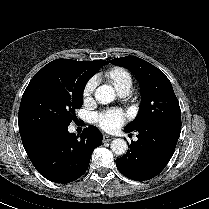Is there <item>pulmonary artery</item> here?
Listing matches in <instances>:
<instances>
[{"label":"pulmonary artery","instance_id":"pulmonary-artery-1","mask_svg":"<svg viewBox=\"0 0 209 209\" xmlns=\"http://www.w3.org/2000/svg\"><path fill=\"white\" fill-rule=\"evenodd\" d=\"M118 94L121 97H127L130 94V89L129 88H124V89L118 90Z\"/></svg>","mask_w":209,"mask_h":209}]
</instances>
